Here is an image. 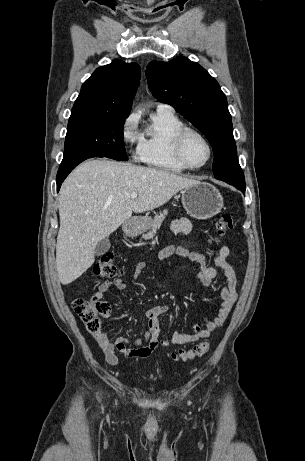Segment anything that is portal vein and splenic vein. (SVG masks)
I'll return each instance as SVG.
<instances>
[{"mask_svg":"<svg viewBox=\"0 0 305 461\" xmlns=\"http://www.w3.org/2000/svg\"><path fill=\"white\" fill-rule=\"evenodd\" d=\"M131 198H132V199L137 198V193H136V192H132V193H131Z\"/></svg>","mask_w":305,"mask_h":461,"instance_id":"portal-vein-and-splenic-vein-1","label":"portal vein and splenic vein"}]
</instances>
